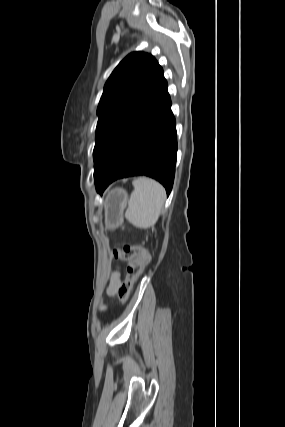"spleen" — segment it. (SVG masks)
Returning a JSON list of instances; mask_svg holds the SVG:
<instances>
[{"mask_svg": "<svg viewBox=\"0 0 285 427\" xmlns=\"http://www.w3.org/2000/svg\"><path fill=\"white\" fill-rule=\"evenodd\" d=\"M133 186L125 217L137 228L153 227L164 205L165 189L157 181L146 177L135 180Z\"/></svg>", "mask_w": 285, "mask_h": 427, "instance_id": "spleen-1", "label": "spleen"}]
</instances>
